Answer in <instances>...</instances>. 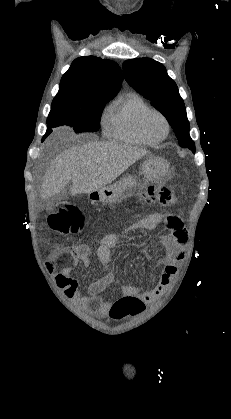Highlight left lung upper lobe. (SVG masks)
I'll use <instances>...</instances> for the list:
<instances>
[{
    "instance_id": "left-lung-upper-lobe-1",
    "label": "left lung upper lobe",
    "mask_w": 231,
    "mask_h": 419,
    "mask_svg": "<svg viewBox=\"0 0 231 419\" xmlns=\"http://www.w3.org/2000/svg\"><path fill=\"white\" fill-rule=\"evenodd\" d=\"M123 74L125 80L166 117L179 145L195 152L184 101L166 68L151 58H138L123 63Z\"/></svg>"
}]
</instances>
